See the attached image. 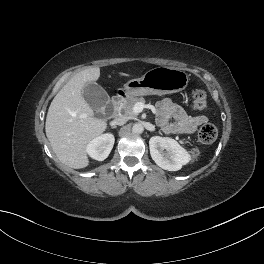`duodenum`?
I'll return each instance as SVG.
<instances>
[{"label": "duodenum", "instance_id": "410a0bca", "mask_svg": "<svg viewBox=\"0 0 264 264\" xmlns=\"http://www.w3.org/2000/svg\"><path fill=\"white\" fill-rule=\"evenodd\" d=\"M122 97H123V93L120 92L111 98V101H110V104L107 110V115L110 118H114L115 116H117L119 104H120Z\"/></svg>", "mask_w": 264, "mask_h": 264}]
</instances>
